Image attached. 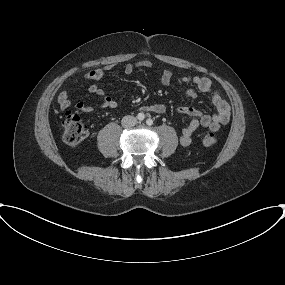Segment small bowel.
<instances>
[{
	"label": "small bowel",
	"instance_id": "1",
	"mask_svg": "<svg viewBox=\"0 0 285 285\" xmlns=\"http://www.w3.org/2000/svg\"><path fill=\"white\" fill-rule=\"evenodd\" d=\"M152 68L153 64L151 61L140 60L136 63L126 64L124 67V73L126 75H131L136 69ZM109 69V67H105L91 70L85 75V78L87 80L93 81V83L89 86L88 91L91 94L100 97V105L106 108H115L117 104L114 99L108 95H105L104 91L96 84V82L99 81L104 76L105 72ZM172 78V73L169 70H164L161 73L160 81L162 85L169 86L172 82ZM178 82L191 83L195 87L187 90L183 96L184 98H195L198 91L209 94L216 109V112L213 115L203 114L200 110L188 106H181L177 109L178 113L193 118L191 122L182 130L180 136L181 145L187 147L192 143L193 134L199 127H204L215 132L218 131L222 125L227 124L230 120V106L228 102L223 98L222 94L218 90L213 89L212 82L208 77L187 75L179 78ZM58 103L62 110L70 107L71 99L68 91L65 90L60 92L58 96ZM75 107L81 112H89L93 110L94 105L79 101ZM142 110L162 114L166 111V106L162 103H157L144 106Z\"/></svg>",
	"mask_w": 285,
	"mask_h": 285
}]
</instances>
